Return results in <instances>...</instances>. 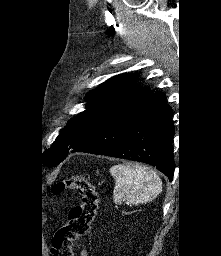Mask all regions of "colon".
I'll list each match as a JSON object with an SVG mask.
<instances>
[{
    "label": "colon",
    "instance_id": "5ec220e1",
    "mask_svg": "<svg viewBox=\"0 0 221 256\" xmlns=\"http://www.w3.org/2000/svg\"><path fill=\"white\" fill-rule=\"evenodd\" d=\"M65 190L77 191L81 202L71 210L68 223L55 233L53 256H74V244L90 232L98 210V192L88 175L69 176L53 187L54 194Z\"/></svg>",
    "mask_w": 221,
    "mask_h": 256
}]
</instances>
